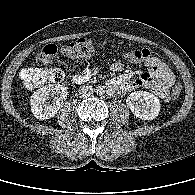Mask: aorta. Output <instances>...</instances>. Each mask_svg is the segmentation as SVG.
<instances>
[{"label": "aorta", "instance_id": "762f6f07", "mask_svg": "<svg viewBox=\"0 0 195 195\" xmlns=\"http://www.w3.org/2000/svg\"><path fill=\"white\" fill-rule=\"evenodd\" d=\"M96 93H97V95H99V96H101V95H103L104 94V88L103 87H101V86H98L97 88H96V91H95Z\"/></svg>", "mask_w": 195, "mask_h": 195}]
</instances>
